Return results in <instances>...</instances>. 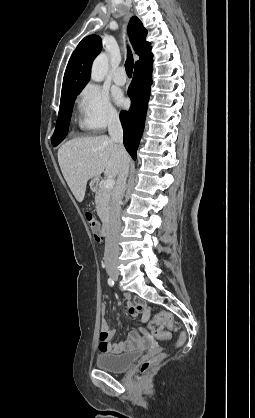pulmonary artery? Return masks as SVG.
I'll use <instances>...</instances> for the list:
<instances>
[{
    "instance_id": "obj_1",
    "label": "pulmonary artery",
    "mask_w": 255,
    "mask_h": 418,
    "mask_svg": "<svg viewBox=\"0 0 255 418\" xmlns=\"http://www.w3.org/2000/svg\"><path fill=\"white\" fill-rule=\"evenodd\" d=\"M113 81L117 85H124L127 81L125 69L124 67H119L116 69L114 75H113Z\"/></svg>"
}]
</instances>
